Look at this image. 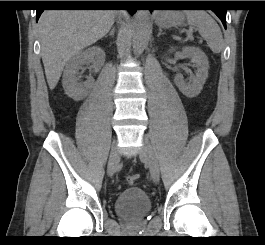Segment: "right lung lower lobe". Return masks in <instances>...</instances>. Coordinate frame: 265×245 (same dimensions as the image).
<instances>
[{"instance_id":"1","label":"right lung lower lobe","mask_w":265,"mask_h":245,"mask_svg":"<svg viewBox=\"0 0 265 245\" xmlns=\"http://www.w3.org/2000/svg\"><path fill=\"white\" fill-rule=\"evenodd\" d=\"M53 6H72L66 3H53ZM77 6L79 7H125L130 13L134 14L136 12L135 5L129 1H84ZM43 9H38L36 13V21H38Z\"/></svg>"}]
</instances>
